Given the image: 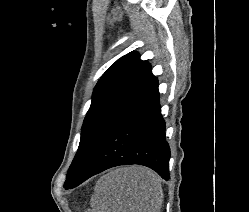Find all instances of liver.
<instances>
[{
	"mask_svg": "<svg viewBox=\"0 0 249 212\" xmlns=\"http://www.w3.org/2000/svg\"><path fill=\"white\" fill-rule=\"evenodd\" d=\"M161 180L143 166L109 170L96 184L91 212H160Z\"/></svg>",
	"mask_w": 249,
	"mask_h": 212,
	"instance_id": "1",
	"label": "liver"
}]
</instances>
